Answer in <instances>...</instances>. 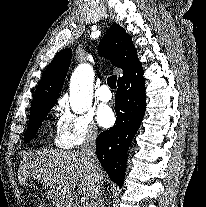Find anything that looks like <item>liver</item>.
I'll return each instance as SVG.
<instances>
[{
    "label": "liver",
    "instance_id": "liver-1",
    "mask_svg": "<svg viewBox=\"0 0 206 207\" xmlns=\"http://www.w3.org/2000/svg\"><path fill=\"white\" fill-rule=\"evenodd\" d=\"M33 177L48 189V196L57 207L72 205V192L78 186L80 196L93 198V175L79 150H38L25 155L18 170L19 183ZM106 177L102 170V181Z\"/></svg>",
    "mask_w": 206,
    "mask_h": 207
}]
</instances>
